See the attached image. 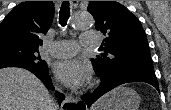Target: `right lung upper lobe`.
<instances>
[{
	"label": "right lung upper lobe",
	"mask_w": 171,
	"mask_h": 110,
	"mask_svg": "<svg viewBox=\"0 0 171 110\" xmlns=\"http://www.w3.org/2000/svg\"><path fill=\"white\" fill-rule=\"evenodd\" d=\"M54 16L52 1H26L17 5L0 24V45L39 48Z\"/></svg>",
	"instance_id": "1"
}]
</instances>
